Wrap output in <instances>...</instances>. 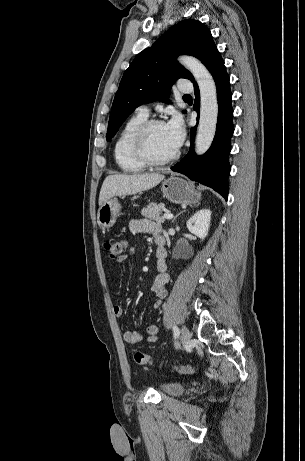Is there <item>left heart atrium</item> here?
<instances>
[{"label": "left heart atrium", "mask_w": 305, "mask_h": 461, "mask_svg": "<svg viewBox=\"0 0 305 461\" xmlns=\"http://www.w3.org/2000/svg\"><path fill=\"white\" fill-rule=\"evenodd\" d=\"M167 136L175 149H179L185 137V130L182 119L178 115H174L166 124Z\"/></svg>", "instance_id": "obj_1"}]
</instances>
